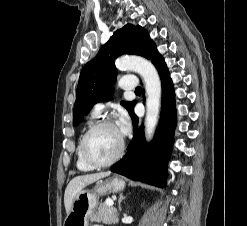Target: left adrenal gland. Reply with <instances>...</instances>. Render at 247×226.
<instances>
[{"instance_id": "left-adrenal-gland-1", "label": "left adrenal gland", "mask_w": 247, "mask_h": 226, "mask_svg": "<svg viewBox=\"0 0 247 226\" xmlns=\"http://www.w3.org/2000/svg\"><path fill=\"white\" fill-rule=\"evenodd\" d=\"M124 199H125V196H123L122 194H120L119 200H118V208H119V211H121V202Z\"/></svg>"}]
</instances>
